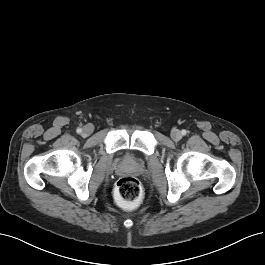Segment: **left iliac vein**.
Masks as SVG:
<instances>
[{
	"label": "left iliac vein",
	"instance_id": "left-iliac-vein-1",
	"mask_svg": "<svg viewBox=\"0 0 265 265\" xmlns=\"http://www.w3.org/2000/svg\"><path fill=\"white\" fill-rule=\"evenodd\" d=\"M182 137L181 132L178 129H173L171 131V138L175 141H179Z\"/></svg>",
	"mask_w": 265,
	"mask_h": 265
}]
</instances>
